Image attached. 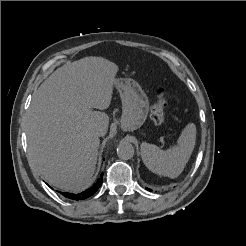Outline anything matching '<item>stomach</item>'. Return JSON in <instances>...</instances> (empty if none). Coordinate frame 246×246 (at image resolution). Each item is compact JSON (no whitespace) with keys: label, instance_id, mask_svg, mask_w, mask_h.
<instances>
[{"label":"stomach","instance_id":"stomach-1","mask_svg":"<svg viewBox=\"0 0 246 246\" xmlns=\"http://www.w3.org/2000/svg\"><path fill=\"white\" fill-rule=\"evenodd\" d=\"M115 87L122 101V128L133 131L140 128L149 112V101L141 86L133 79H116Z\"/></svg>","mask_w":246,"mask_h":246}]
</instances>
